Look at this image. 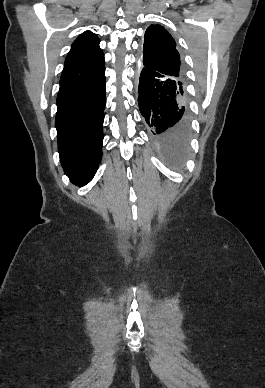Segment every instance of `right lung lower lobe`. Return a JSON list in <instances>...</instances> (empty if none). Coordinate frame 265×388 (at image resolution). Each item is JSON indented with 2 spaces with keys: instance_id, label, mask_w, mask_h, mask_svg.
<instances>
[{
  "instance_id": "obj_1",
  "label": "right lung lower lobe",
  "mask_w": 265,
  "mask_h": 388,
  "mask_svg": "<svg viewBox=\"0 0 265 388\" xmlns=\"http://www.w3.org/2000/svg\"><path fill=\"white\" fill-rule=\"evenodd\" d=\"M105 72L94 79L60 87L55 126L65 174L79 186L95 175L102 157Z\"/></svg>"
}]
</instances>
